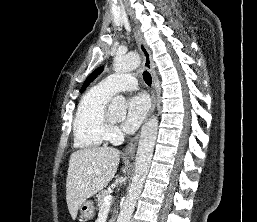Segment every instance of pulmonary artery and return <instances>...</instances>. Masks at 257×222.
Masks as SVG:
<instances>
[{
	"label": "pulmonary artery",
	"instance_id": "e3ab8cb5",
	"mask_svg": "<svg viewBox=\"0 0 257 222\" xmlns=\"http://www.w3.org/2000/svg\"><path fill=\"white\" fill-rule=\"evenodd\" d=\"M98 86L108 94L114 95L120 91L137 89L138 81L133 75L114 74L101 80Z\"/></svg>",
	"mask_w": 257,
	"mask_h": 222
}]
</instances>
